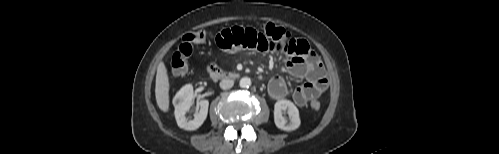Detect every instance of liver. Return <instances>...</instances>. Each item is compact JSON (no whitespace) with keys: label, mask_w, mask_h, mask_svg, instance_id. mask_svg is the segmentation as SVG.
<instances>
[{"label":"liver","mask_w":499,"mask_h":154,"mask_svg":"<svg viewBox=\"0 0 499 154\" xmlns=\"http://www.w3.org/2000/svg\"><path fill=\"white\" fill-rule=\"evenodd\" d=\"M169 76L164 62H160L157 67L155 97L161 111H169Z\"/></svg>","instance_id":"obj_1"}]
</instances>
